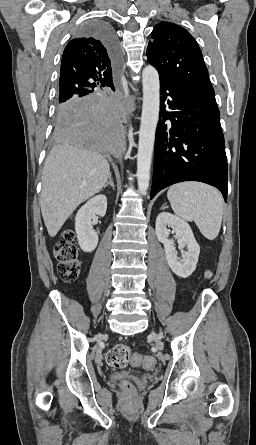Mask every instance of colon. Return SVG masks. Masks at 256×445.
<instances>
[{
	"instance_id": "colon-1",
	"label": "colon",
	"mask_w": 256,
	"mask_h": 445,
	"mask_svg": "<svg viewBox=\"0 0 256 445\" xmlns=\"http://www.w3.org/2000/svg\"><path fill=\"white\" fill-rule=\"evenodd\" d=\"M77 252L75 233L73 231H65L54 249L55 256L59 262V274L64 281H73L79 275L80 262ZM106 362L109 366L117 369L125 368L129 362L134 365L146 363L148 366H153L154 363L151 357L142 354L133 355L130 347L126 344L113 346L106 354ZM121 389L126 393H132L133 385L129 381H123Z\"/></svg>"
}]
</instances>
